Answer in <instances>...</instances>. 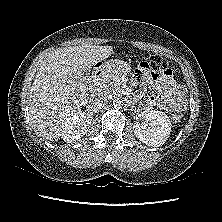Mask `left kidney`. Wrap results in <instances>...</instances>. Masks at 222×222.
<instances>
[{
  "mask_svg": "<svg viewBox=\"0 0 222 222\" xmlns=\"http://www.w3.org/2000/svg\"><path fill=\"white\" fill-rule=\"evenodd\" d=\"M142 119L143 122L133 125L136 137L148 146H162L171 132L169 117L161 111L146 109L142 112Z\"/></svg>",
  "mask_w": 222,
  "mask_h": 222,
  "instance_id": "5707ae66",
  "label": "left kidney"
}]
</instances>
